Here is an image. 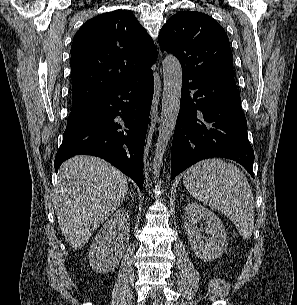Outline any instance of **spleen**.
Segmentation results:
<instances>
[{"instance_id": "1", "label": "spleen", "mask_w": 297, "mask_h": 305, "mask_svg": "<svg viewBox=\"0 0 297 305\" xmlns=\"http://www.w3.org/2000/svg\"><path fill=\"white\" fill-rule=\"evenodd\" d=\"M184 186L197 200L223 212L240 235L249 239L254 226V199L244 173L220 159L198 162L184 173Z\"/></svg>"}]
</instances>
